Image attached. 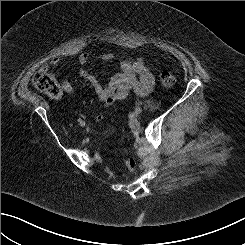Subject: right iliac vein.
I'll list each match as a JSON object with an SVG mask.
<instances>
[{
  "mask_svg": "<svg viewBox=\"0 0 245 245\" xmlns=\"http://www.w3.org/2000/svg\"><path fill=\"white\" fill-rule=\"evenodd\" d=\"M80 126L84 127L85 126V122L83 121Z\"/></svg>",
  "mask_w": 245,
  "mask_h": 245,
  "instance_id": "obj_1",
  "label": "right iliac vein"
}]
</instances>
